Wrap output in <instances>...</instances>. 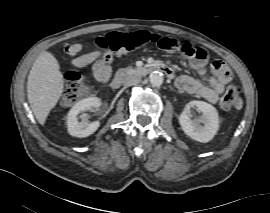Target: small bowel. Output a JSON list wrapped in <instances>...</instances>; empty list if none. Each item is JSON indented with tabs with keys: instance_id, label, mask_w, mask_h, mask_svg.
Instances as JSON below:
<instances>
[{
	"instance_id": "small-bowel-1",
	"label": "small bowel",
	"mask_w": 270,
	"mask_h": 213,
	"mask_svg": "<svg viewBox=\"0 0 270 213\" xmlns=\"http://www.w3.org/2000/svg\"><path fill=\"white\" fill-rule=\"evenodd\" d=\"M82 49L83 46L80 43H68L64 46V52L67 55L75 56L72 61L73 66L82 68L91 65V72L95 80L107 84L112 78L111 66L99 58L100 55L97 51L78 55ZM188 57L191 68L202 78L203 82L194 77L182 75L177 79V86L188 94L215 102L231 81L230 75L227 78H220L215 72L210 74L206 60H199L193 56ZM169 68L174 73L173 68L171 66Z\"/></svg>"
}]
</instances>
